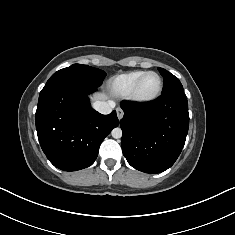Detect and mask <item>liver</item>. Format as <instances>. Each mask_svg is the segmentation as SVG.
<instances>
[{
    "label": "liver",
    "mask_w": 235,
    "mask_h": 235,
    "mask_svg": "<svg viewBox=\"0 0 235 235\" xmlns=\"http://www.w3.org/2000/svg\"><path fill=\"white\" fill-rule=\"evenodd\" d=\"M92 100H105L106 95L104 93H98L91 97Z\"/></svg>",
    "instance_id": "1"
}]
</instances>
